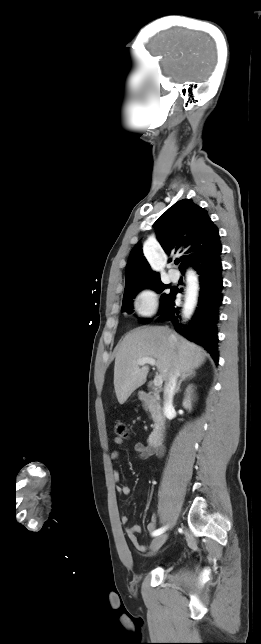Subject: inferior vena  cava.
Returning a JSON list of instances; mask_svg holds the SVG:
<instances>
[{
  "mask_svg": "<svg viewBox=\"0 0 261 644\" xmlns=\"http://www.w3.org/2000/svg\"><path fill=\"white\" fill-rule=\"evenodd\" d=\"M180 376V372L177 368L172 370L169 374L168 380L164 385V402H163V412L165 413L173 407V396L175 393V388L177 384V379Z\"/></svg>",
  "mask_w": 261,
  "mask_h": 644,
  "instance_id": "602c4592",
  "label": "inferior vena cava"
}]
</instances>
